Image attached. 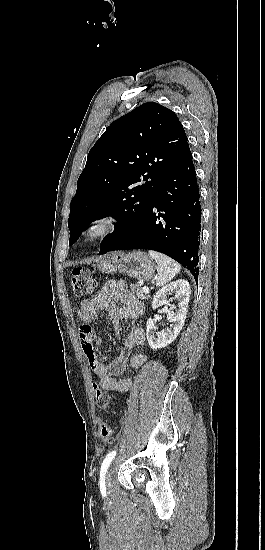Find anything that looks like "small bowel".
<instances>
[{
  "label": "small bowel",
  "instance_id": "obj_1",
  "mask_svg": "<svg viewBox=\"0 0 265 550\" xmlns=\"http://www.w3.org/2000/svg\"><path fill=\"white\" fill-rule=\"evenodd\" d=\"M107 313L109 320L119 330L121 322L127 324V331L123 338V348L110 362L103 361L96 353L95 346L102 345V339L97 336L91 323L96 321L98 314ZM144 306L128 290L122 281H109L90 299L81 303L78 316L85 323L80 329V339L83 351L87 357L92 374L96 380L93 385L103 392L118 391L127 392L131 389V378L117 379L130 364L138 369L147 361L143 353L132 354L134 347L145 342L144 330L136 324L143 315Z\"/></svg>",
  "mask_w": 265,
  "mask_h": 550
}]
</instances>
